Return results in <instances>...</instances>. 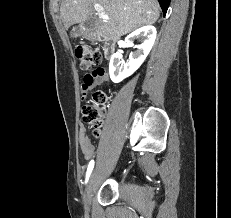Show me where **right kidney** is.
<instances>
[{
  "label": "right kidney",
  "instance_id": "obj_1",
  "mask_svg": "<svg viewBox=\"0 0 231 218\" xmlns=\"http://www.w3.org/2000/svg\"><path fill=\"white\" fill-rule=\"evenodd\" d=\"M156 33V28L148 25L137 29L125 38L126 45L128 46H133L132 39L134 37H141L142 43L134 46L137 50L131 53L129 62L127 63L121 61L122 56L120 53L112 55L109 64V74L114 83L121 82L141 66L155 42Z\"/></svg>",
  "mask_w": 231,
  "mask_h": 218
}]
</instances>
